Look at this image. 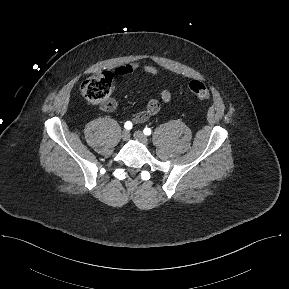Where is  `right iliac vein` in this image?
I'll use <instances>...</instances> for the list:
<instances>
[{
	"mask_svg": "<svg viewBox=\"0 0 289 289\" xmlns=\"http://www.w3.org/2000/svg\"><path fill=\"white\" fill-rule=\"evenodd\" d=\"M121 138H122L124 141L129 140V138H130V132H129L128 130H123L122 133H121Z\"/></svg>",
	"mask_w": 289,
	"mask_h": 289,
	"instance_id": "right-iliac-vein-1",
	"label": "right iliac vein"
}]
</instances>
